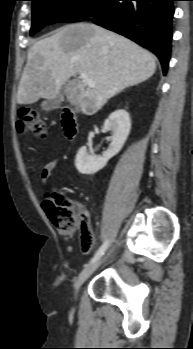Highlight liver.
<instances>
[{
	"label": "liver",
	"mask_w": 193,
	"mask_h": 349,
	"mask_svg": "<svg viewBox=\"0 0 193 349\" xmlns=\"http://www.w3.org/2000/svg\"><path fill=\"white\" fill-rule=\"evenodd\" d=\"M155 70V56L131 40L94 24H69L30 47L17 103L55 98L65 86L77 111L93 115L111 97L149 79ZM80 73L87 74L95 87L75 80L66 85Z\"/></svg>",
	"instance_id": "liver-1"
}]
</instances>
